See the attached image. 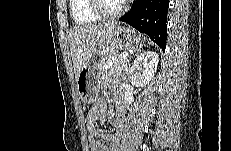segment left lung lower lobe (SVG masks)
<instances>
[{
  "label": "left lung lower lobe",
  "mask_w": 231,
  "mask_h": 151,
  "mask_svg": "<svg viewBox=\"0 0 231 151\" xmlns=\"http://www.w3.org/2000/svg\"><path fill=\"white\" fill-rule=\"evenodd\" d=\"M169 0H135L130 11L119 20L146 33L162 50L167 39Z\"/></svg>",
  "instance_id": "1"
}]
</instances>
